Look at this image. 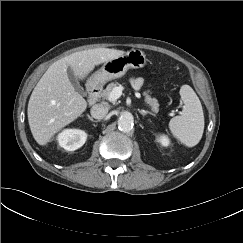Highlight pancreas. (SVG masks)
<instances>
[{
  "label": "pancreas",
  "instance_id": "1",
  "mask_svg": "<svg viewBox=\"0 0 243 243\" xmlns=\"http://www.w3.org/2000/svg\"><path fill=\"white\" fill-rule=\"evenodd\" d=\"M117 86H118V84L115 83V82L108 84L106 89L103 90V92H102V97L108 99L111 91ZM143 95L145 96V99H144L145 103L150 106L151 110L153 112H158L159 111V103H158L157 99L151 97L147 92L143 93Z\"/></svg>",
  "mask_w": 243,
  "mask_h": 243
}]
</instances>
